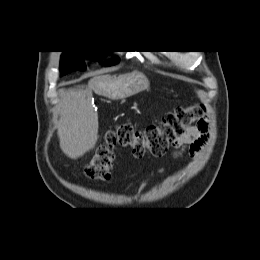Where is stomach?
Returning a JSON list of instances; mask_svg holds the SVG:
<instances>
[{"label":"stomach","instance_id":"1","mask_svg":"<svg viewBox=\"0 0 260 260\" xmlns=\"http://www.w3.org/2000/svg\"><path fill=\"white\" fill-rule=\"evenodd\" d=\"M149 88L148 79L139 73L124 75L118 78L111 91L112 99H124Z\"/></svg>","mask_w":260,"mask_h":260}]
</instances>
